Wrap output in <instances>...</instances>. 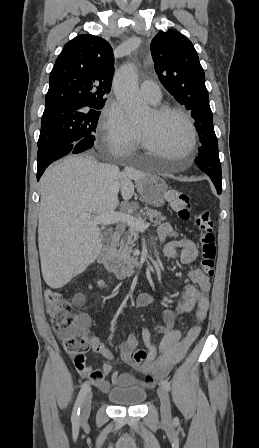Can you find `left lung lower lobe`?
Returning <instances> with one entry per match:
<instances>
[{"label": "left lung lower lobe", "instance_id": "left-lung-lower-lobe-1", "mask_svg": "<svg viewBox=\"0 0 259 448\" xmlns=\"http://www.w3.org/2000/svg\"><path fill=\"white\" fill-rule=\"evenodd\" d=\"M198 155L196 164H198V167L211 178L218 194H220L222 188V174L218 154V142L215 141L202 145Z\"/></svg>", "mask_w": 259, "mask_h": 448}]
</instances>
